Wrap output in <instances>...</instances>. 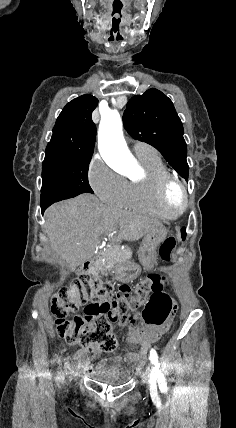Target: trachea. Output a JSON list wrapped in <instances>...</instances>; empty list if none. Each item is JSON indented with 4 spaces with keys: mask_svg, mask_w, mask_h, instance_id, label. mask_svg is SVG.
Listing matches in <instances>:
<instances>
[{
    "mask_svg": "<svg viewBox=\"0 0 236 428\" xmlns=\"http://www.w3.org/2000/svg\"><path fill=\"white\" fill-rule=\"evenodd\" d=\"M112 20L113 22H111L109 24V29L111 31H114L115 34L119 33V29H120V20H121V15L119 13H114L112 15Z\"/></svg>",
    "mask_w": 236,
    "mask_h": 428,
    "instance_id": "trachea-1",
    "label": "trachea"
}]
</instances>
